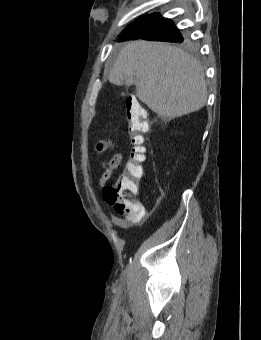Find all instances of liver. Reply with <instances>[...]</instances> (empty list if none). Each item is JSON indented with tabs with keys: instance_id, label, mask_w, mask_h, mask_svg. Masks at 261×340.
Wrapping results in <instances>:
<instances>
[{
	"instance_id": "6515ba94",
	"label": "liver",
	"mask_w": 261,
	"mask_h": 340,
	"mask_svg": "<svg viewBox=\"0 0 261 340\" xmlns=\"http://www.w3.org/2000/svg\"><path fill=\"white\" fill-rule=\"evenodd\" d=\"M109 81L136 84L137 97L159 117H181L200 110L207 101L199 62L167 43L129 42L115 60Z\"/></svg>"
}]
</instances>
